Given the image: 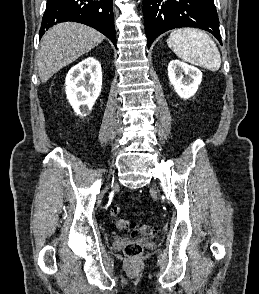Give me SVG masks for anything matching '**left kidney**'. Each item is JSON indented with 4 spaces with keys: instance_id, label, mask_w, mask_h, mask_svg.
Wrapping results in <instances>:
<instances>
[{
    "instance_id": "5707ae66",
    "label": "left kidney",
    "mask_w": 259,
    "mask_h": 294,
    "mask_svg": "<svg viewBox=\"0 0 259 294\" xmlns=\"http://www.w3.org/2000/svg\"><path fill=\"white\" fill-rule=\"evenodd\" d=\"M168 77L175 92L183 99L193 96L202 81V73L198 68L179 60L169 63Z\"/></svg>"
}]
</instances>
